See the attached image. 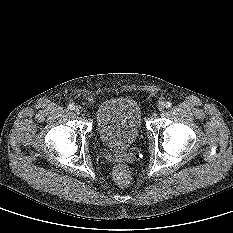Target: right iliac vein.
Listing matches in <instances>:
<instances>
[{
  "mask_svg": "<svg viewBox=\"0 0 233 233\" xmlns=\"http://www.w3.org/2000/svg\"><path fill=\"white\" fill-rule=\"evenodd\" d=\"M74 111H75L77 114H80V113H82L83 108H82L80 105H77V106L74 108Z\"/></svg>",
  "mask_w": 233,
  "mask_h": 233,
  "instance_id": "obj_1",
  "label": "right iliac vein"
}]
</instances>
